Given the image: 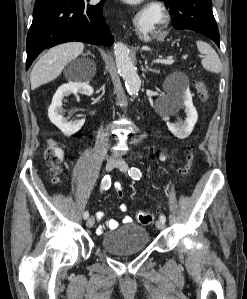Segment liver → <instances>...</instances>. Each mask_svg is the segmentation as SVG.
<instances>
[{
    "label": "liver",
    "instance_id": "obj_1",
    "mask_svg": "<svg viewBox=\"0 0 247 299\" xmlns=\"http://www.w3.org/2000/svg\"><path fill=\"white\" fill-rule=\"evenodd\" d=\"M84 44L80 42H67L49 49L34 65L30 82L31 89L56 79L64 67L73 59L83 53Z\"/></svg>",
    "mask_w": 247,
    "mask_h": 299
}]
</instances>
